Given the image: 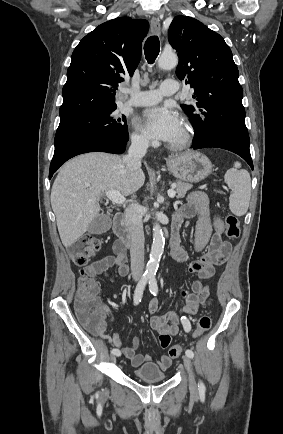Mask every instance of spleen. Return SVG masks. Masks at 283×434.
<instances>
[{"label":"spleen","instance_id":"3e777b00","mask_svg":"<svg viewBox=\"0 0 283 434\" xmlns=\"http://www.w3.org/2000/svg\"><path fill=\"white\" fill-rule=\"evenodd\" d=\"M240 168L241 164L235 162L233 168L224 175L225 183L232 190L229 209L236 216H243L247 212L251 195L250 175L248 171Z\"/></svg>","mask_w":283,"mask_h":434}]
</instances>
